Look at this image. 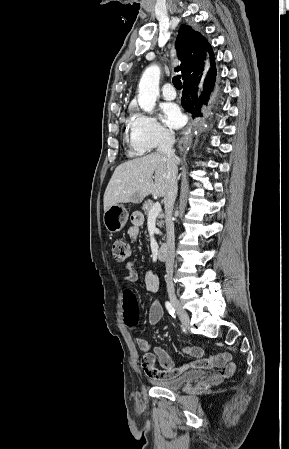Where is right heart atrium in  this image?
<instances>
[{
	"label": "right heart atrium",
	"instance_id": "right-heart-atrium-1",
	"mask_svg": "<svg viewBox=\"0 0 289 449\" xmlns=\"http://www.w3.org/2000/svg\"><path fill=\"white\" fill-rule=\"evenodd\" d=\"M173 134L148 114L136 112L130 120V142L134 148L151 151L169 144Z\"/></svg>",
	"mask_w": 289,
	"mask_h": 449
}]
</instances>
